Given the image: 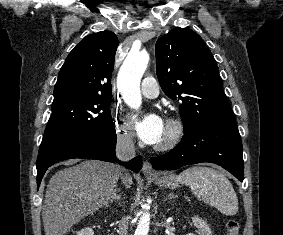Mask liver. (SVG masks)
Instances as JSON below:
<instances>
[{
	"label": "liver",
	"mask_w": 283,
	"mask_h": 235,
	"mask_svg": "<svg viewBox=\"0 0 283 235\" xmlns=\"http://www.w3.org/2000/svg\"><path fill=\"white\" fill-rule=\"evenodd\" d=\"M119 178L130 188L132 177L128 173H120L115 165L98 160H85L53 175L42 210L45 235H64L85 216L106 205Z\"/></svg>",
	"instance_id": "liver-1"
}]
</instances>
